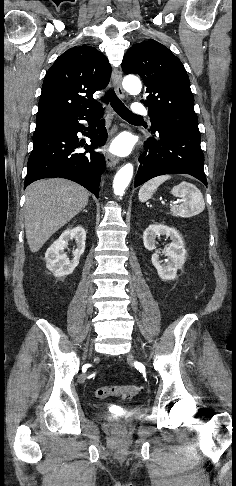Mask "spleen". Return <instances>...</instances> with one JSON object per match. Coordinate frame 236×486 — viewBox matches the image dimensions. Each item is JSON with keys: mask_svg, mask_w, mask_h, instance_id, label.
Here are the masks:
<instances>
[{"mask_svg": "<svg viewBox=\"0 0 236 486\" xmlns=\"http://www.w3.org/2000/svg\"><path fill=\"white\" fill-rule=\"evenodd\" d=\"M169 175L155 177L145 184L139 190V200L146 202L150 199L157 188L166 180L170 179ZM171 194L181 198L183 203L171 207V211L181 217H191L201 213L205 208V203L201 191L192 183L181 182L172 188Z\"/></svg>", "mask_w": 236, "mask_h": 486, "instance_id": "obj_1", "label": "spleen"}]
</instances>
